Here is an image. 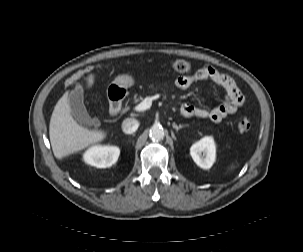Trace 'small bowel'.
<instances>
[{
	"instance_id": "small-bowel-1",
	"label": "small bowel",
	"mask_w": 303,
	"mask_h": 252,
	"mask_svg": "<svg viewBox=\"0 0 303 252\" xmlns=\"http://www.w3.org/2000/svg\"><path fill=\"white\" fill-rule=\"evenodd\" d=\"M199 81H211L220 87L225 93L224 100L211 109L195 107L192 104L185 102L179 108V112L183 116L220 122L226 116L235 113L244 102V97L240 89L230 77L207 66L199 68L192 75L178 77L175 80V86L178 89L184 90Z\"/></svg>"
}]
</instances>
